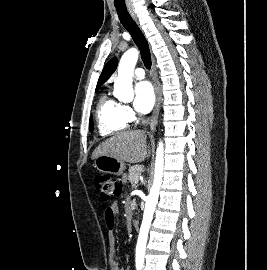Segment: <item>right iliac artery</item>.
<instances>
[{
    "label": "right iliac artery",
    "mask_w": 267,
    "mask_h": 270,
    "mask_svg": "<svg viewBox=\"0 0 267 270\" xmlns=\"http://www.w3.org/2000/svg\"><path fill=\"white\" fill-rule=\"evenodd\" d=\"M137 270H141V267H137Z\"/></svg>",
    "instance_id": "obj_1"
}]
</instances>
